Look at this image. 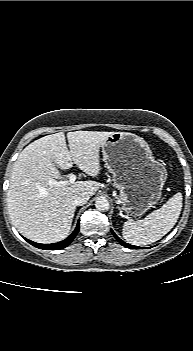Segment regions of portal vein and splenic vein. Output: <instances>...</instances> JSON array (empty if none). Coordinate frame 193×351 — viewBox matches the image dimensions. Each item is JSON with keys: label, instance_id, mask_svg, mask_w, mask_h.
<instances>
[{"label": "portal vein and splenic vein", "instance_id": "1", "mask_svg": "<svg viewBox=\"0 0 193 351\" xmlns=\"http://www.w3.org/2000/svg\"><path fill=\"white\" fill-rule=\"evenodd\" d=\"M76 180V176L74 174H71L69 176V180H62V181H55V180H52L50 181L49 183L51 185H59V186H66L68 184H73Z\"/></svg>", "mask_w": 193, "mask_h": 351}]
</instances>
